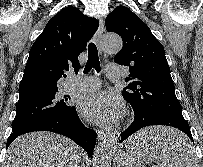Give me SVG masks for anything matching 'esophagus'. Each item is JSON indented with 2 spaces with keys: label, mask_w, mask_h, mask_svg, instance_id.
<instances>
[{
  "label": "esophagus",
  "mask_w": 203,
  "mask_h": 167,
  "mask_svg": "<svg viewBox=\"0 0 203 167\" xmlns=\"http://www.w3.org/2000/svg\"><path fill=\"white\" fill-rule=\"evenodd\" d=\"M103 32H104V23L100 19L99 20V28L95 34V42L99 47L101 46V39L103 36ZM106 135H107V131H105V130H98V132H97V136H98L99 140H102L104 137H106Z\"/></svg>",
  "instance_id": "esophagus-1"
}]
</instances>
